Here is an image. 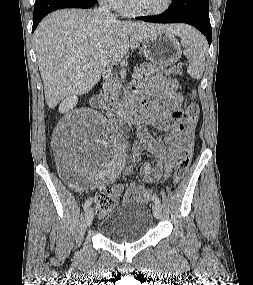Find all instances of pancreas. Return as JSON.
<instances>
[{
	"label": "pancreas",
	"mask_w": 253,
	"mask_h": 285,
	"mask_svg": "<svg viewBox=\"0 0 253 285\" xmlns=\"http://www.w3.org/2000/svg\"><path fill=\"white\" fill-rule=\"evenodd\" d=\"M136 72H140L142 76H152L154 74L164 73L166 75H177L182 74L180 67H171L167 69L164 66H158L152 63H143L140 67L135 68ZM120 91V86L116 81H110L104 88L105 94L103 95L104 99L115 100L118 97Z\"/></svg>",
	"instance_id": "pancreas-1"
}]
</instances>
